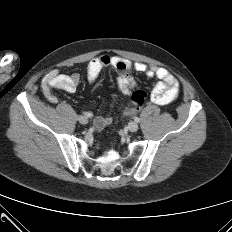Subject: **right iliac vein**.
<instances>
[{"label":"right iliac vein","mask_w":232,"mask_h":232,"mask_svg":"<svg viewBox=\"0 0 232 232\" xmlns=\"http://www.w3.org/2000/svg\"><path fill=\"white\" fill-rule=\"evenodd\" d=\"M78 121L81 123V124H87L88 123V119L85 117V116H78Z\"/></svg>","instance_id":"obj_1"}]
</instances>
